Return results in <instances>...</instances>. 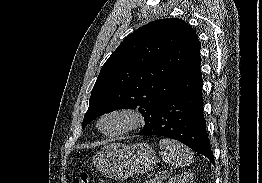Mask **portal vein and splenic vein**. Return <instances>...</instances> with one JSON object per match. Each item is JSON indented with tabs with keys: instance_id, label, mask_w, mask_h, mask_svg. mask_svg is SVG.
<instances>
[{
	"instance_id": "obj_1",
	"label": "portal vein and splenic vein",
	"mask_w": 262,
	"mask_h": 183,
	"mask_svg": "<svg viewBox=\"0 0 262 183\" xmlns=\"http://www.w3.org/2000/svg\"><path fill=\"white\" fill-rule=\"evenodd\" d=\"M165 177V175L164 174H162L161 176L159 175V178H164Z\"/></svg>"
}]
</instances>
